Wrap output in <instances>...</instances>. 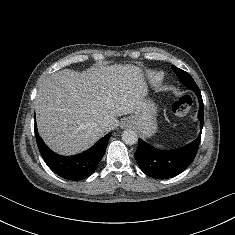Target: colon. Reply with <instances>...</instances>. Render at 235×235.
I'll use <instances>...</instances> for the list:
<instances>
[{
    "mask_svg": "<svg viewBox=\"0 0 235 235\" xmlns=\"http://www.w3.org/2000/svg\"><path fill=\"white\" fill-rule=\"evenodd\" d=\"M172 110L177 117L188 116L192 111V99L187 95L180 97L174 102Z\"/></svg>",
    "mask_w": 235,
    "mask_h": 235,
    "instance_id": "colon-1",
    "label": "colon"
}]
</instances>
